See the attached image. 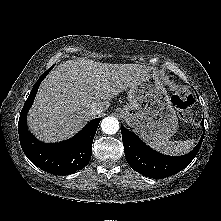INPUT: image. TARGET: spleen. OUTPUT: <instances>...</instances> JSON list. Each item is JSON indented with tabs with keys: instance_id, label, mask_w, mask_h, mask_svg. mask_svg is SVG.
<instances>
[{
	"instance_id": "3e777b00",
	"label": "spleen",
	"mask_w": 221,
	"mask_h": 221,
	"mask_svg": "<svg viewBox=\"0 0 221 221\" xmlns=\"http://www.w3.org/2000/svg\"><path fill=\"white\" fill-rule=\"evenodd\" d=\"M149 145L155 150L166 155H183L191 151L195 140L186 141H151Z\"/></svg>"
}]
</instances>
